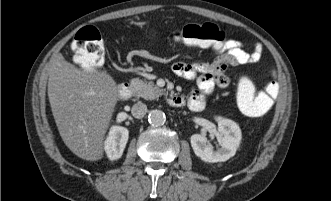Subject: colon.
Listing matches in <instances>:
<instances>
[{
    "label": "colon",
    "mask_w": 331,
    "mask_h": 201,
    "mask_svg": "<svg viewBox=\"0 0 331 201\" xmlns=\"http://www.w3.org/2000/svg\"><path fill=\"white\" fill-rule=\"evenodd\" d=\"M174 38L191 46L221 49L226 40V33L212 23L189 24L175 31ZM76 62L86 70H95L104 63L105 49L99 31L92 26L79 30L73 41ZM278 96V82L269 83L258 90L247 77L239 79L236 86V100L240 110L252 117L266 114Z\"/></svg>",
    "instance_id": "1"
}]
</instances>
